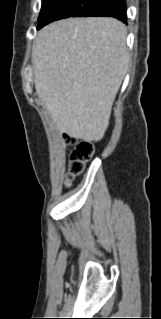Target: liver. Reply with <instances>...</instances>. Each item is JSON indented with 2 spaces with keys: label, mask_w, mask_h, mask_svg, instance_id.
Here are the masks:
<instances>
[{
  "label": "liver",
  "mask_w": 161,
  "mask_h": 319,
  "mask_svg": "<svg viewBox=\"0 0 161 319\" xmlns=\"http://www.w3.org/2000/svg\"><path fill=\"white\" fill-rule=\"evenodd\" d=\"M126 26L113 18H69L34 41L35 89L61 133L100 141L128 70Z\"/></svg>",
  "instance_id": "1"
}]
</instances>
